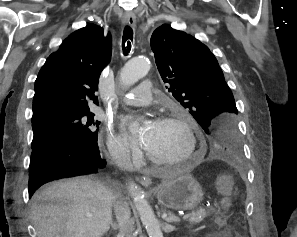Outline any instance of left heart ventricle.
Returning <instances> with one entry per match:
<instances>
[{"label": "left heart ventricle", "instance_id": "1", "mask_svg": "<svg viewBox=\"0 0 297 237\" xmlns=\"http://www.w3.org/2000/svg\"><path fill=\"white\" fill-rule=\"evenodd\" d=\"M146 149L156 158L172 160L186 153L188 139L180 126L159 121L154 136Z\"/></svg>", "mask_w": 297, "mask_h": 237}]
</instances>
